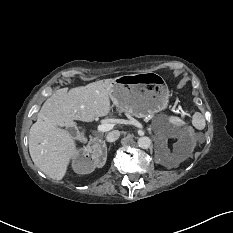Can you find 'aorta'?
Returning <instances> with one entry per match:
<instances>
[{"mask_svg": "<svg viewBox=\"0 0 233 233\" xmlns=\"http://www.w3.org/2000/svg\"><path fill=\"white\" fill-rule=\"evenodd\" d=\"M138 146L143 149H148L151 146V139L147 136L138 139Z\"/></svg>", "mask_w": 233, "mask_h": 233, "instance_id": "aorta-1", "label": "aorta"}]
</instances>
